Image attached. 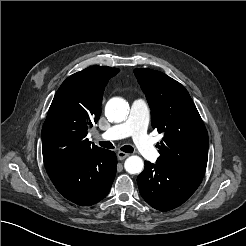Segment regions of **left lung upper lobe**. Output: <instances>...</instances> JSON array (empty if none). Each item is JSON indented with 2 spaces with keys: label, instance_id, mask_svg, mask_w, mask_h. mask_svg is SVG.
I'll return each instance as SVG.
<instances>
[{
  "label": "left lung upper lobe",
  "instance_id": "1",
  "mask_svg": "<svg viewBox=\"0 0 246 246\" xmlns=\"http://www.w3.org/2000/svg\"><path fill=\"white\" fill-rule=\"evenodd\" d=\"M151 108L152 127L164 133L157 162L206 169L208 133L189 93L179 82L151 69H135Z\"/></svg>",
  "mask_w": 246,
  "mask_h": 246
}]
</instances>
